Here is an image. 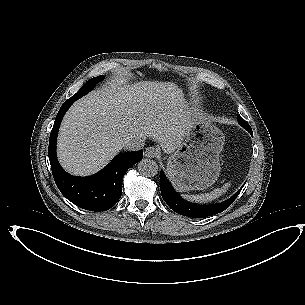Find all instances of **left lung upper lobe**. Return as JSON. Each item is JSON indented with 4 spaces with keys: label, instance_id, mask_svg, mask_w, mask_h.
Listing matches in <instances>:
<instances>
[{
    "label": "left lung upper lobe",
    "instance_id": "obj_1",
    "mask_svg": "<svg viewBox=\"0 0 305 305\" xmlns=\"http://www.w3.org/2000/svg\"><path fill=\"white\" fill-rule=\"evenodd\" d=\"M238 117V123L245 128L250 134H252V129L250 125L241 117ZM203 212H205L200 206L193 205V204H185L184 210L182 215L188 216V217H193V218H201L200 216Z\"/></svg>",
    "mask_w": 305,
    "mask_h": 305
}]
</instances>
